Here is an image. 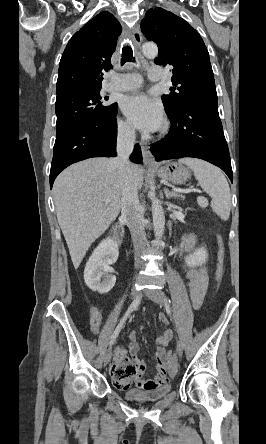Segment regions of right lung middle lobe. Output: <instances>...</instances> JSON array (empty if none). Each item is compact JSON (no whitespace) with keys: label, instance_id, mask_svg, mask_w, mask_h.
Masks as SVG:
<instances>
[{"label":"right lung middle lobe","instance_id":"1","mask_svg":"<svg viewBox=\"0 0 266 444\" xmlns=\"http://www.w3.org/2000/svg\"><path fill=\"white\" fill-rule=\"evenodd\" d=\"M100 89L70 92L56 98V138L80 126L105 120L115 114L117 104H106Z\"/></svg>","mask_w":266,"mask_h":444}]
</instances>
